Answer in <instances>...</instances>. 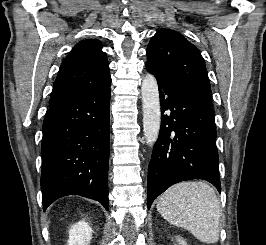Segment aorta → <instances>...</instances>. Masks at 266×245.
<instances>
[{
  "label": "aorta",
  "mask_w": 266,
  "mask_h": 245,
  "mask_svg": "<svg viewBox=\"0 0 266 245\" xmlns=\"http://www.w3.org/2000/svg\"><path fill=\"white\" fill-rule=\"evenodd\" d=\"M141 92L144 137L147 145L152 147L159 137L161 125L159 90L154 74H150V72L145 74L141 84Z\"/></svg>",
  "instance_id": "1"
}]
</instances>
